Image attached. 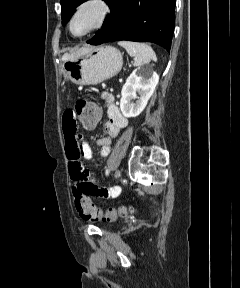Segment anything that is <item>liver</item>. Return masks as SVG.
Masks as SVG:
<instances>
[{"label":"liver","mask_w":240,"mask_h":288,"mask_svg":"<svg viewBox=\"0 0 240 288\" xmlns=\"http://www.w3.org/2000/svg\"><path fill=\"white\" fill-rule=\"evenodd\" d=\"M87 48H81V49H78L76 50L75 52L71 53V54H68V53H65L63 56H62V60L63 61H66L68 60L69 58L75 56V55H78L84 51H86Z\"/></svg>","instance_id":"1"}]
</instances>
